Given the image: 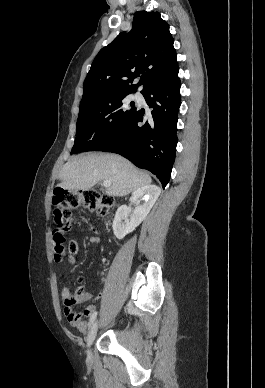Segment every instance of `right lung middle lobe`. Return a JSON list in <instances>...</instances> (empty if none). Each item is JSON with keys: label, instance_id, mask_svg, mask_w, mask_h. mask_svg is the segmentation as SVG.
Returning a JSON list of instances; mask_svg holds the SVG:
<instances>
[{"label": "right lung middle lobe", "instance_id": "1", "mask_svg": "<svg viewBox=\"0 0 265 388\" xmlns=\"http://www.w3.org/2000/svg\"><path fill=\"white\" fill-rule=\"evenodd\" d=\"M131 92L105 90L82 98L71 154L100 151L136 111L124 99Z\"/></svg>", "mask_w": 265, "mask_h": 388}]
</instances>
